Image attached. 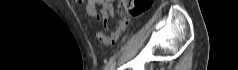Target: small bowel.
<instances>
[{"instance_id":"1","label":"small bowel","mask_w":238,"mask_h":70,"mask_svg":"<svg viewBox=\"0 0 238 70\" xmlns=\"http://www.w3.org/2000/svg\"><path fill=\"white\" fill-rule=\"evenodd\" d=\"M97 5L100 6L101 13L105 21L109 17H113L115 15L111 0H90L89 1V8L92 12L96 11ZM126 25H127V21L125 19L120 20L118 23V28L114 33H112L111 35H108L100 31L97 33V38L104 45L114 44L118 40L122 31L125 29Z\"/></svg>"}]
</instances>
